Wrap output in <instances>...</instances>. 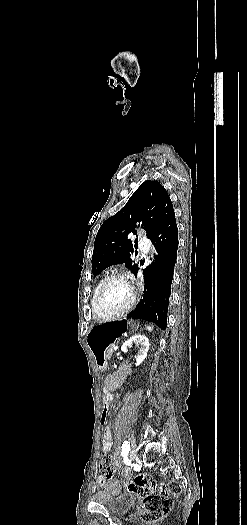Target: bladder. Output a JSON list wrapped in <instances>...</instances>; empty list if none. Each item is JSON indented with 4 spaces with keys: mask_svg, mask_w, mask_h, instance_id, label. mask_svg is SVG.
<instances>
[{
    "mask_svg": "<svg viewBox=\"0 0 247 525\" xmlns=\"http://www.w3.org/2000/svg\"><path fill=\"white\" fill-rule=\"evenodd\" d=\"M103 505L109 513L113 515H121L138 507L139 501L136 496L128 495L126 492H123L116 496L105 495Z\"/></svg>",
    "mask_w": 247,
    "mask_h": 525,
    "instance_id": "bladder-1",
    "label": "bladder"
}]
</instances>
